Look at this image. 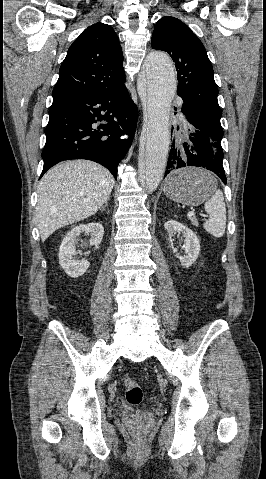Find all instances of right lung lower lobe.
Listing matches in <instances>:
<instances>
[{
  "instance_id": "obj_1",
  "label": "right lung lower lobe",
  "mask_w": 266,
  "mask_h": 479,
  "mask_svg": "<svg viewBox=\"0 0 266 479\" xmlns=\"http://www.w3.org/2000/svg\"><path fill=\"white\" fill-rule=\"evenodd\" d=\"M136 122L137 107L124 82L91 93L53 99L44 130L41 177L61 161L87 159L103 165L116 178L117 166L130 147ZM123 134L130 138L120 139Z\"/></svg>"
}]
</instances>
